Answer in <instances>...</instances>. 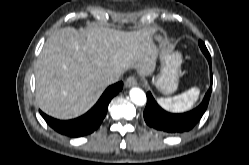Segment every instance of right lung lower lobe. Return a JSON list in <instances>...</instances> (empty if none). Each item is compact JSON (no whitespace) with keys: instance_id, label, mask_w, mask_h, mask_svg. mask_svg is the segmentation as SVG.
Wrapping results in <instances>:
<instances>
[{"instance_id":"obj_1","label":"right lung lower lobe","mask_w":249,"mask_h":165,"mask_svg":"<svg viewBox=\"0 0 249 165\" xmlns=\"http://www.w3.org/2000/svg\"><path fill=\"white\" fill-rule=\"evenodd\" d=\"M123 88V83L118 82L109 86L98 102L84 115L72 120H57L43 112L40 114L47 124L60 134L69 137H81L94 132L102 123L111 99Z\"/></svg>"}]
</instances>
